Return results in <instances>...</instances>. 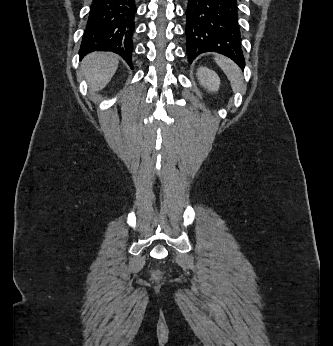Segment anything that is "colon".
Returning <instances> with one entry per match:
<instances>
[{"mask_svg":"<svg viewBox=\"0 0 333 346\" xmlns=\"http://www.w3.org/2000/svg\"><path fill=\"white\" fill-rule=\"evenodd\" d=\"M154 274H155V275H158V278H159V279H162V278H163V275L160 274V271H159V270H155V271H154Z\"/></svg>","mask_w":333,"mask_h":346,"instance_id":"obj_1","label":"colon"}]
</instances>
